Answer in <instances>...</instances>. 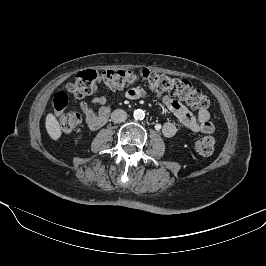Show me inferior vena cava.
I'll return each instance as SVG.
<instances>
[{
	"instance_id": "602c4592",
	"label": "inferior vena cava",
	"mask_w": 266,
	"mask_h": 266,
	"mask_svg": "<svg viewBox=\"0 0 266 266\" xmlns=\"http://www.w3.org/2000/svg\"><path fill=\"white\" fill-rule=\"evenodd\" d=\"M127 119V113L122 109H117L112 112L111 114V120L114 123H121L124 122Z\"/></svg>"
}]
</instances>
